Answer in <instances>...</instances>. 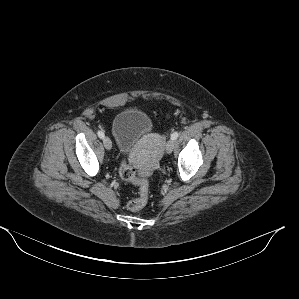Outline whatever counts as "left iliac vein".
Here are the masks:
<instances>
[{
  "mask_svg": "<svg viewBox=\"0 0 299 299\" xmlns=\"http://www.w3.org/2000/svg\"><path fill=\"white\" fill-rule=\"evenodd\" d=\"M174 148V140L170 139L166 143V152L170 154L173 151Z\"/></svg>",
  "mask_w": 299,
  "mask_h": 299,
  "instance_id": "4c4485c4",
  "label": "left iliac vein"
}]
</instances>
